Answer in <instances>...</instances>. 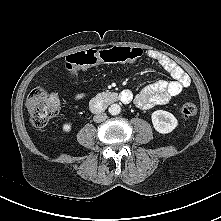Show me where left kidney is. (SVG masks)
I'll list each match as a JSON object with an SVG mask.
<instances>
[{
  "label": "left kidney",
  "instance_id": "obj_1",
  "mask_svg": "<svg viewBox=\"0 0 221 221\" xmlns=\"http://www.w3.org/2000/svg\"><path fill=\"white\" fill-rule=\"evenodd\" d=\"M151 119L154 129L161 134L172 132L178 125L176 117L165 110L154 111Z\"/></svg>",
  "mask_w": 221,
  "mask_h": 221
}]
</instances>
